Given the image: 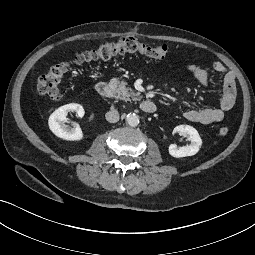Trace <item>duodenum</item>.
<instances>
[{"label":"duodenum","instance_id":"410a0bca","mask_svg":"<svg viewBox=\"0 0 255 255\" xmlns=\"http://www.w3.org/2000/svg\"><path fill=\"white\" fill-rule=\"evenodd\" d=\"M96 91L104 98H109L112 94L109 84L105 81H99L96 84ZM140 107L146 113H153L156 111L157 106L152 100H144L141 102Z\"/></svg>","mask_w":255,"mask_h":255}]
</instances>
